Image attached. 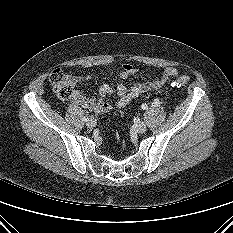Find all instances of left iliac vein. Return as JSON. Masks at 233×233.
Instances as JSON below:
<instances>
[{
    "label": "left iliac vein",
    "mask_w": 233,
    "mask_h": 233,
    "mask_svg": "<svg viewBox=\"0 0 233 233\" xmlns=\"http://www.w3.org/2000/svg\"><path fill=\"white\" fill-rule=\"evenodd\" d=\"M134 130H135L137 133H144V132H146V130H147V126H146L145 122L140 121V122H138V123H136V124L134 125Z\"/></svg>",
    "instance_id": "obj_1"
}]
</instances>
